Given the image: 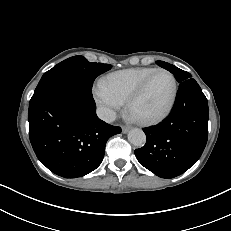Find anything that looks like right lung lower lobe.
Segmentation results:
<instances>
[{
  "label": "right lung lower lobe",
  "mask_w": 231,
  "mask_h": 231,
  "mask_svg": "<svg viewBox=\"0 0 231 231\" xmlns=\"http://www.w3.org/2000/svg\"><path fill=\"white\" fill-rule=\"evenodd\" d=\"M28 121L36 156L65 178L95 170L103 160L107 140L121 132L120 127L97 117L92 90L68 82L31 98Z\"/></svg>",
  "instance_id": "98d812e1"
}]
</instances>
